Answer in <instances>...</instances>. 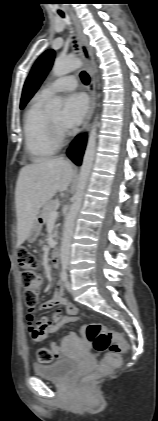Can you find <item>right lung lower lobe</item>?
<instances>
[{
    "instance_id": "obj_1",
    "label": "right lung lower lobe",
    "mask_w": 158,
    "mask_h": 421,
    "mask_svg": "<svg viewBox=\"0 0 158 421\" xmlns=\"http://www.w3.org/2000/svg\"><path fill=\"white\" fill-rule=\"evenodd\" d=\"M85 143V138L79 135L75 138L71 148L68 151L69 158L77 165L81 164Z\"/></svg>"
}]
</instances>
